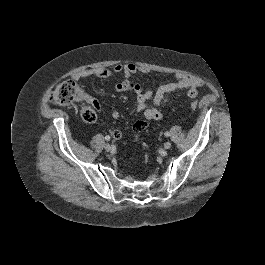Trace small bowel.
<instances>
[{"mask_svg": "<svg viewBox=\"0 0 265 265\" xmlns=\"http://www.w3.org/2000/svg\"><path fill=\"white\" fill-rule=\"evenodd\" d=\"M113 72L117 74H123L125 80L118 82L115 85V90L117 92L131 91L136 96V110L141 112L145 120H140L134 123V131H141L147 127L149 121L159 120L162 117L161 112L158 107L169 103L168 94L175 92L177 90L185 89L186 95L189 98H195L198 95V89L202 85V81L192 75L178 73L176 75V81L173 83L161 85L155 91L148 89L145 90L141 85L132 80V77L140 72L143 74H148L150 70L146 67L138 66L136 64H118L113 68ZM112 75V71L107 67H97L92 69H86L79 71L73 75V80L79 81L88 77L97 78H108ZM86 100L88 102H96L85 94ZM98 104V103H97ZM114 119L119 118L120 114L118 111L114 110L111 113ZM113 137L116 139L121 138L122 134L119 130L113 131Z\"/></svg>", "mask_w": 265, "mask_h": 265, "instance_id": "1", "label": "small bowel"}]
</instances>
